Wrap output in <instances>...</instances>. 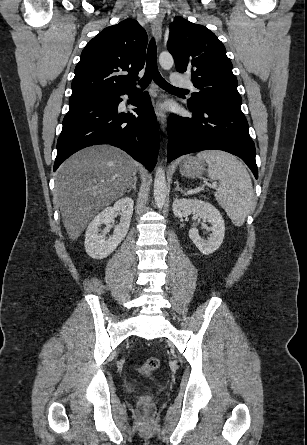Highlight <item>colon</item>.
Masks as SVG:
<instances>
[{"label":"colon","mask_w":307,"mask_h":445,"mask_svg":"<svg viewBox=\"0 0 307 445\" xmlns=\"http://www.w3.org/2000/svg\"><path fill=\"white\" fill-rule=\"evenodd\" d=\"M160 366V361L156 357H150L146 359L139 367L137 368L138 372L144 376H149L151 373L156 371ZM140 406L143 409H149L152 406V401L149 396H143L140 399Z\"/></svg>","instance_id":"colon-1"}]
</instances>
